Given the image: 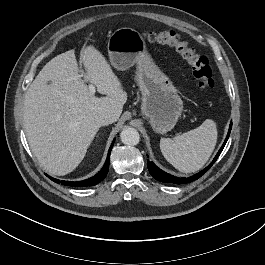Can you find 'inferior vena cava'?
Returning a JSON list of instances; mask_svg holds the SVG:
<instances>
[{
    "instance_id": "1",
    "label": "inferior vena cava",
    "mask_w": 265,
    "mask_h": 265,
    "mask_svg": "<svg viewBox=\"0 0 265 265\" xmlns=\"http://www.w3.org/2000/svg\"><path fill=\"white\" fill-rule=\"evenodd\" d=\"M95 122L99 126H106L114 122V117L111 114L104 112L96 116Z\"/></svg>"
}]
</instances>
